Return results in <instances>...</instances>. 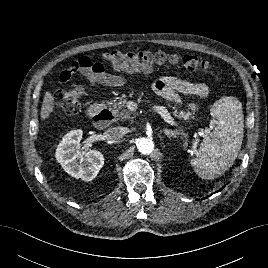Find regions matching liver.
Here are the masks:
<instances>
[{"label":"liver","mask_w":268,"mask_h":268,"mask_svg":"<svg viewBox=\"0 0 268 268\" xmlns=\"http://www.w3.org/2000/svg\"><path fill=\"white\" fill-rule=\"evenodd\" d=\"M54 111V96L47 91L44 95L41 107V119L45 120Z\"/></svg>","instance_id":"obj_1"}]
</instances>
